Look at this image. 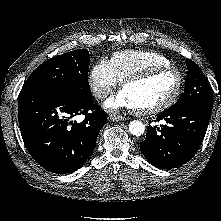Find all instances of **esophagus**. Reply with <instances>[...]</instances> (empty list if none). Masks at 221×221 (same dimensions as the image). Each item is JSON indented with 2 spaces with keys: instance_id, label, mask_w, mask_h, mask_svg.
<instances>
[{
  "instance_id": "34e87169",
  "label": "esophagus",
  "mask_w": 221,
  "mask_h": 221,
  "mask_svg": "<svg viewBox=\"0 0 221 221\" xmlns=\"http://www.w3.org/2000/svg\"><path fill=\"white\" fill-rule=\"evenodd\" d=\"M108 119H109V121H111V122L123 121V120H125L124 117L119 116V115H116V114H110L109 117H108Z\"/></svg>"
}]
</instances>
